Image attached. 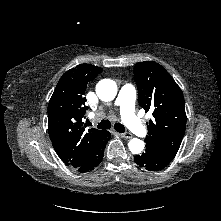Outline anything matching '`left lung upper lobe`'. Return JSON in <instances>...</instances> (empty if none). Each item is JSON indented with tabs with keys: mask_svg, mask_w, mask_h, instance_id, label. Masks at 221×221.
Here are the masks:
<instances>
[{
	"mask_svg": "<svg viewBox=\"0 0 221 221\" xmlns=\"http://www.w3.org/2000/svg\"><path fill=\"white\" fill-rule=\"evenodd\" d=\"M134 79L139 105L153 111V119L147 122L146 147L171 161L186 129L183 93L167 70L153 61L136 63Z\"/></svg>",
	"mask_w": 221,
	"mask_h": 221,
	"instance_id": "5c2ea615",
	"label": "left lung upper lobe"
}]
</instances>
